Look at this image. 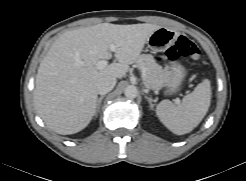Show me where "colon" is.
I'll use <instances>...</instances> for the list:
<instances>
[{"mask_svg":"<svg viewBox=\"0 0 246 181\" xmlns=\"http://www.w3.org/2000/svg\"><path fill=\"white\" fill-rule=\"evenodd\" d=\"M199 56L200 53L197 46L188 38L181 36L173 46L166 50L164 60L167 62H174L184 57L197 60Z\"/></svg>","mask_w":246,"mask_h":181,"instance_id":"obj_1","label":"colon"}]
</instances>
